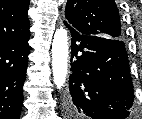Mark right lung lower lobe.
Here are the masks:
<instances>
[{"mask_svg":"<svg viewBox=\"0 0 142 119\" xmlns=\"http://www.w3.org/2000/svg\"><path fill=\"white\" fill-rule=\"evenodd\" d=\"M30 34L0 45V119H19Z\"/></svg>","mask_w":142,"mask_h":119,"instance_id":"1","label":"right lung lower lobe"}]
</instances>
